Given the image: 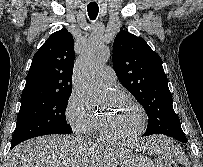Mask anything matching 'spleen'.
<instances>
[{"label": "spleen", "mask_w": 203, "mask_h": 167, "mask_svg": "<svg viewBox=\"0 0 203 167\" xmlns=\"http://www.w3.org/2000/svg\"><path fill=\"white\" fill-rule=\"evenodd\" d=\"M150 152L161 153L166 156L172 157L177 160L180 164L189 165L188 159L182 152L181 148L175 145V143L165 137H159L155 140H151L149 148Z\"/></svg>", "instance_id": "obj_1"}]
</instances>
